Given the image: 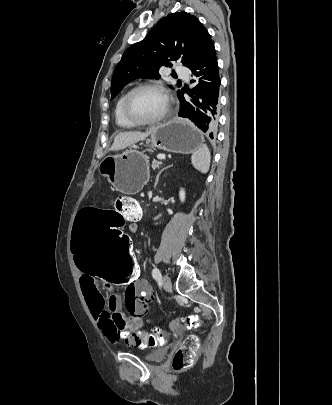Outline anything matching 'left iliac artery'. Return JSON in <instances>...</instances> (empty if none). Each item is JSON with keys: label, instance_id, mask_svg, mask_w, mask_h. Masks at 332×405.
<instances>
[{"label": "left iliac artery", "instance_id": "44dca946", "mask_svg": "<svg viewBox=\"0 0 332 405\" xmlns=\"http://www.w3.org/2000/svg\"><path fill=\"white\" fill-rule=\"evenodd\" d=\"M152 276H153V278H154L155 280H157V281H160V280H161V272H160V270H159L157 267H155V268L152 270Z\"/></svg>", "mask_w": 332, "mask_h": 405}]
</instances>
